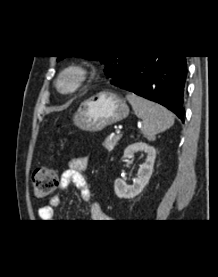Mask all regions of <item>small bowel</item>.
Here are the masks:
<instances>
[{"label": "small bowel", "mask_w": 218, "mask_h": 277, "mask_svg": "<svg viewBox=\"0 0 218 277\" xmlns=\"http://www.w3.org/2000/svg\"><path fill=\"white\" fill-rule=\"evenodd\" d=\"M89 158L87 156L74 157L69 160L68 168L62 173L59 183L60 191L65 190L71 183L80 191L81 198L84 202H90L92 193L90 187L83 176V172L87 169ZM61 201V194L54 195L48 205L38 209V215L41 220L50 222L54 220V207L58 206ZM91 215L93 220H104L105 213L102 211L98 203H93L91 206Z\"/></svg>", "instance_id": "obj_1"}]
</instances>
